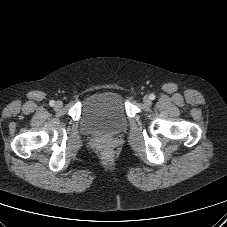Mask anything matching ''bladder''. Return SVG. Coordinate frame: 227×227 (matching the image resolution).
Wrapping results in <instances>:
<instances>
[{
	"mask_svg": "<svg viewBox=\"0 0 227 227\" xmlns=\"http://www.w3.org/2000/svg\"><path fill=\"white\" fill-rule=\"evenodd\" d=\"M127 125L128 117L120 93L113 90L99 91L85 101L80 118L83 133L95 137H112L124 132Z\"/></svg>",
	"mask_w": 227,
	"mask_h": 227,
	"instance_id": "31cf9c89",
	"label": "bladder"
}]
</instances>
